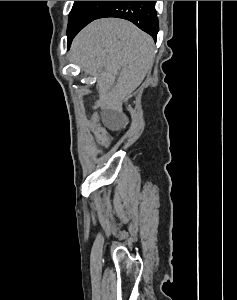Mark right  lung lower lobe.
<instances>
[{
  "label": "right lung lower lobe",
  "instance_id": "1",
  "mask_svg": "<svg viewBox=\"0 0 237 300\" xmlns=\"http://www.w3.org/2000/svg\"><path fill=\"white\" fill-rule=\"evenodd\" d=\"M104 17L129 20L156 40L158 19L155 1H112L96 19Z\"/></svg>",
  "mask_w": 237,
  "mask_h": 300
}]
</instances>
